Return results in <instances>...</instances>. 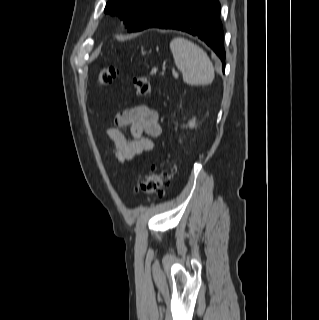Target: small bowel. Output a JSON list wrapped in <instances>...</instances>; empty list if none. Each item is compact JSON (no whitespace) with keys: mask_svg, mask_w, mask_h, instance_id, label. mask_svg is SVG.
Wrapping results in <instances>:
<instances>
[{"mask_svg":"<svg viewBox=\"0 0 319 320\" xmlns=\"http://www.w3.org/2000/svg\"><path fill=\"white\" fill-rule=\"evenodd\" d=\"M160 133L158 113L146 105L119 112L115 116L114 126L107 130L113 153L122 163L150 151L153 139Z\"/></svg>","mask_w":319,"mask_h":320,"instance_id":"obj_1","label":"small bowel"}]
</instances>
